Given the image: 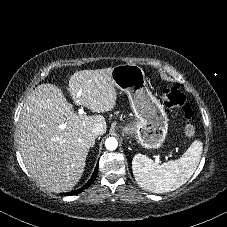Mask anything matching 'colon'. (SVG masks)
<instances>
[{
    "mask_svg": "<svg viewBox=\"0 0 227 227\" xmlns=\"http://www.w3.org/2000/svg\"><path fill=\"white\" fill-rule=\"evenodd\" d=\"M163 102L168 108H182L186 120L185 134L189 137L192 136L195 130L190 122L193 110L185 96L177 88H166L163 92Z\"/></svg>",
    "mask_w": 227,
    "mask_h": 227,
    "instance_id": "colon-1",
    "label": "colon"
}]
</instances>
